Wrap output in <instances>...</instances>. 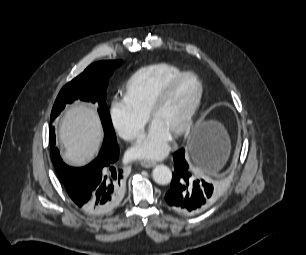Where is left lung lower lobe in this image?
<instances>
[{
  "instance_id": "0a47b994",
  "label": "left lung lower lobe",
  "mask_w": 306,
  "mask_h": 255,
  "mask_svg": "<svg viewBox=\"0 0 306 255\" xmlns=\"http://www.w3.org/2000/svg\"><path fill=\"white\" fill-rule=\"evenodd\" d=\"M188 153L192 151L188 148ZM222 148L208 143L203 151H196L195 162L201 167L212 165L221 155ZM174 172L171 187L165 195L168 205L176 212L193 215L206 209L214 198L215 188L206 180H193L191 164L184 149L173 155Z\"/></svg>"
}]
</instances>
